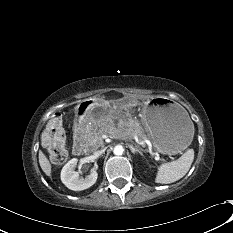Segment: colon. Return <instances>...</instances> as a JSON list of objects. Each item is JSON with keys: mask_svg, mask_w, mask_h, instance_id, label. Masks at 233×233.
I'll list each match as a JSON object with an SVG mask.
<instances>
[{"mask_svg": "<svg viewBox=\"0 0 233 233\" xmlns=\"http://www.w3.org/2000/svg\"><path fill=\"white\" fill-rule=\"evenodd\" d=\"M44 145L54 164H62L68 156L64 128L61 116L54 114L47 124L44 133Z\"/></svg>", "mask_w": 233, "mask_h": 233, "instance_id": "1", "label": "colon"}]
</instances>
